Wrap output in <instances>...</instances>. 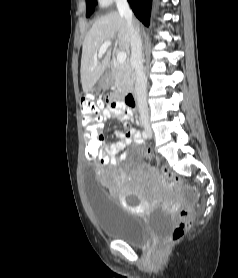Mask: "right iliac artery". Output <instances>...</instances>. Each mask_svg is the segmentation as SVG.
I'll use <instances>...</instances> for the list:
<instances>
[{"label": "right iliac artery", "mask_w": 238, "mask_h": 278, "mask_svg": "<svg viewBox=\"0 0 238 278\" xmlns=\"http://www.w3.org/2000/svg\"><path fill=\"white\" fill-rule=\"evenodd\" d=\"M142 136L145 140L148 138L146 131H144V130L142 131Z\"/></svg>", "instance_id": "82829eb1"}]
</instances>
